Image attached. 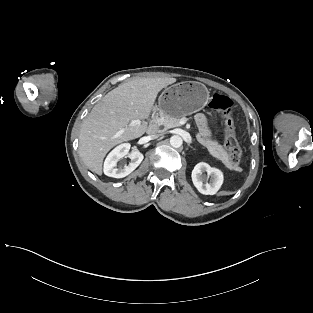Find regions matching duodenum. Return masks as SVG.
I'll list each match as a JSON object with an SVG mask.
<instances>
[{
    "instance_id": "obj_1",
    "label": "duodenum",
    "mask_w": 313,
    "mask_h": 313,
    "mask_svg": "<svg viewBox=\"0 0 313 313\" xmlns=\"http://www.w3.org/2000/svg\"><path fill=\"white\" fill-rule=\"evenodd\" d=\"M158 129V120L156 117H154L148 127V133L154 134Z\"/></svg>"
}]
</instances>
